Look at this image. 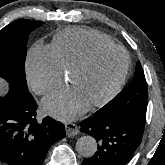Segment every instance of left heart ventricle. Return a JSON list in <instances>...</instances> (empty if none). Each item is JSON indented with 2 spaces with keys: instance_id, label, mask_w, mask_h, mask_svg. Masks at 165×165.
I'll list each match as a JSON object with an SVG mask.
<instances>
[{
  "instance_id": "obj_1",
  "label": "left heart ventricle",
  "mask_w": 165,
  "mask_h": 165,
  "mask_svg": "<svg viewBox=\"0 0 165 165\" xmlns=\"http://www.w3.org/2000/svg\"><path fill=\"white\" fill-rule=\"evenodd\" d=\"M124 63L122 52L102 51L88 67L72 76L71 84L91 103L101 99L113 87L123 70Z\"/></svg>"
}]
</instances>
